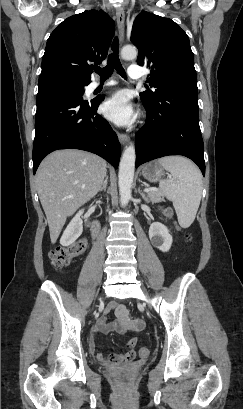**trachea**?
Listing matches in <instances>:
<instances>
[{
  "mask_svg": "<svg viewBox=\"0 0 243 409\" xmlns=\"http://www.w3.org/2000/svg\"><path fill=\"white\" fill-rule=\"evenodd\" d=\"M118 53L119 41L118 38L115 37L111 45V53L108 56L107 65L104 68H95V72L99 74L101 80L108 79L112 75L114 69H116L121 77L126 78V73L120 63Z\"/></svg>",
  "mask_w": 243,
  "mask_h": 409,
  "instance_id": "trachea-1",
  "label": "trachea"
}]
</instances>
